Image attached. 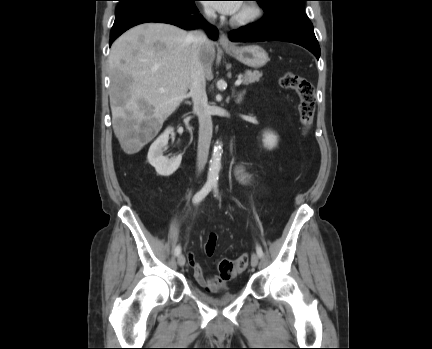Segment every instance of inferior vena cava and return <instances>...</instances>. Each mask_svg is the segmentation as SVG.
Instances as JSON below:
<instances>
[{
	"label": "inferior vena cava",
	"mask_w": 432,
	"mask_h": 349,
	"mask_svg": "<svg viewBox=\"0 0 432 349\" xmlns=\"http://www.w3.org/2000/svg\"><path fill=\"white\" fill-rule=\"evenodd\" d=\"M205 13L208 18L215 15L213 10H206ZM188 39L192 43L189 96H191L193 101V111L198 115L199 119L197 167L198 171L201 172L208 159L213 131L211 113L206 95L205 72L200 60V50L202 46L208 42V38L204 31L195 30L189 33Z\"/></svg>",
	"instance_id": "1"
}]
</instances>
